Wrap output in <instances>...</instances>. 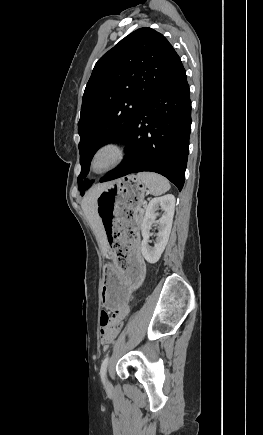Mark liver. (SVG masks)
<instances>
[{
    "label": "liver",
    "instance_id": "6515ba94",
    "mask_svg": "<svg viewBox=\"0 0 263 435\" xmlns=\"http://www.w3.org/2000/svg\"><path fill=\"white\" fill-rule=\"evenodd\" d=\"M108 185L107 183L97 184L93 186L84 196L81 206L82 209L97 237L100 242V246L102 249V253L105 255L107 252V238L106 233L103 227V224L100 220V217L96 210V200L99 194L105 189Z\"/></svg>",
    "mask_w": 263,
    "mask_h": 435
}]
</instances>
